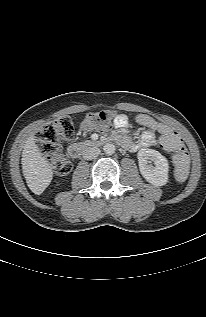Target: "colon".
Returning <instances> with one entry per match:
<instances>
[{
  "label": "colon",
  "mask_w": 206,
  "mask_h": 317,
  "mask_svg": "<svg viewBox=\"0 0 206 317\" xmlns=\"http://www.w3.org/2000/svg\"><path fill=\"white\" fill-rule=\"evenodd\" d=\"M117 118L113 110H102L88 114L82 123L85 130L104 131L111 127ZM74 133L73 122L70 117L62 116L43 126L36 134L40 150L47 157L54 173L64 176L71 169V161L64 154L61 147L71 140ZM162 147L173 153L175 177L183 181L189 173L190 158L182 139L176 133H171L161 140Z\"/></svg>",
  "instance_id": "1"
}]
</instances>
